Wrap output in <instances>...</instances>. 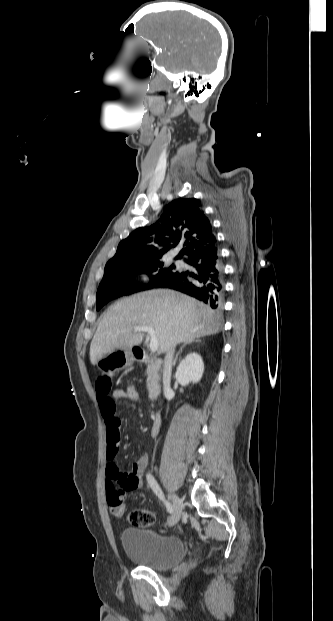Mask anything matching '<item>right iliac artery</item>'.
<instances>
[{"label":"right iliac artery","instance_id":"obj_1","mask_svg":"<svg viewBox=\"0 0 333 621\" xmlns=\"http://www.w3.org/2000/svg\"><path fill=\"white\" fill-rule=\"evenodd\" d=\"M146 479L148 481V484L150 485L151 489L153 490V492L164 502L166 509L169 513L173 512V506L170 502H168L167 500H165L164 495L157 483V481L155 480V478L150 474L147 473L146 475Z\"/></svg>","mask_w":333,"mask_h":621}]
</instances>
